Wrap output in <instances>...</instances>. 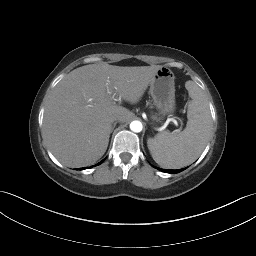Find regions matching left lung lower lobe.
Instances as JSON below:
<instances>
[{"label": "left lung lower lobe", "instance_id": "1", "mask_svg": "<svg viewBox=\"0 0 256 256\" xmlns=\"http://www.w3.org/2000/svg\"><path fill=\"white\" fill-rule=\"evenodd\" d=\"M160 171L166 172V173H179L181 171H183L185 168L183 169H179V170H168V169H161V168H157Z\"/></svg>", "mask_w": 256, "mask_h": 256}]
</instances>
